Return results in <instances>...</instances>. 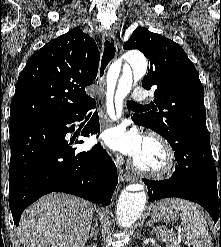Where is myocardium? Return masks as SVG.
<instances>
[{
	"label": "myocardium",
	"mask_w": 221,
	"mask_h": 247,
	"mask_svg": "<svg viewBox=\"0 0 221 247\" xmlns=\"http://www.w3.org/2000/svg\"><path fill=\"white\" fill-rule=\"evenodd\" d=\"M146 141L155 144L164 155V164L157 169H147L138 164L135 159L131 160L132 168L140 175L160 179L165 178L173 174L177 168V154L173 145L161 134L151 132L147 135Z\"/></svg>",
	"instance_id": "f54148a6"
}]
</instances>
